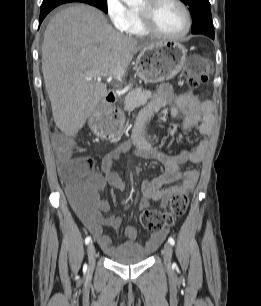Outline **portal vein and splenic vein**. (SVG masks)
Masks as SVG:
<instances>
[{
  "label": "portal vein and splenic vein",
  "instance_id": "portal-vein-and-splenic-vein-1",
  "mask_svg": "<svg viewBox=\"0 0 261 306\" xmlns=\"http://www.w3.org/2000/svg\"><path fill=\"white\" fill-rule=\"evenodd\" d=\"M92 75L96 76L98 81H101V77H107L109 79L118 80L121 76L124 75V71L120 69H116V70H112L107 73L96 72V73H93Z\"/></svg>",
  "mask_w": 261,
  "mask_h": 306
}]
</instances>
